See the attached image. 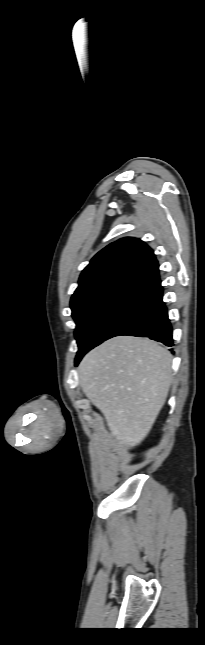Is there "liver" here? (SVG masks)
Masks as SVG:
<instances>
[{
  "instance_id": "liver-1",
  "label": "liver",
  "mask_w": 205,
  "mask_h": 645,
  "mask_svg": "<svg viewBox=\"0 0 205 645\" xmlns=\"http://www.w3.org/2000/svg\"><path fill=\"white\" fill-rule=\"evenodd\" d=\"M171 366L166 348L131 336L105 341L80 362L82 390L121 448H133L149 434L168 396Z\"/></svg>"
}]
</instances>
